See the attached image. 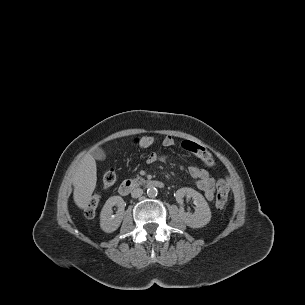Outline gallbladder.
Segmentation results:
<instances>
[{
	"instance_id": "1",
	"label": "gallbladder",
	"mask_w": 305,
	"mask_h": 305,
	"mask_svg": "<svg viewBox=\"0 0 305 305\" xmlns=\"http://www.w3.org/2000/svg\"><path fill=\"white\" fill-rule=\"evenodd\" d=\"M92 156L96 159V160H105L106 158V153L103 149L101 148H95L92 151Z\"/></svg>"
}]
</instances>
